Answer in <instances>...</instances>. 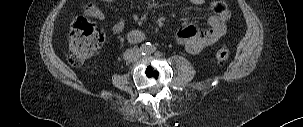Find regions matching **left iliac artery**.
Listing matches in <instances>:
<instances>
[{
	"label": "left iliac artery",
	"instance_id": "44dca946",
	"mask_svg": "<svg viewBox=\"0 0 303 127\" xmlns=\"http://www.w3.org/2000/svg\"><path fill=\"white\" fill-rule=\"evenodd\" d=\"M144 48L146 54H151L157 49L154 45L150 44L149 42L144 45Z\"/></svg>",
	"mask_w": 303,
	"mask_h": 127
}]
</instances>
